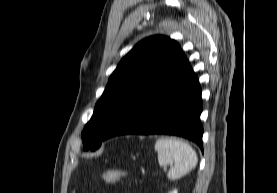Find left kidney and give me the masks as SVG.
Returning a JSON list of instances; mask_svg holds the SVG:
<instances>
[{
  "mask_svg": "<svg viewBox=\"0 0 277 193\" xmlns=\"http://www.w3.org/2000/svg\"><path fill=\"white\" fill-rule=\"evenodd\" d=\"M169 193H178V191L177 190H173V191H171Z\"/></svg>",
  "mask_w": 277,
  "mask_h": 193,
  "instance_id": "left-kidney-1",
  "label": "left kidney"
}]
</instances>
